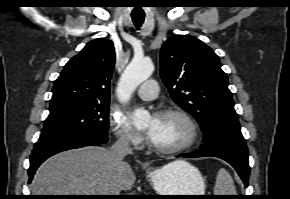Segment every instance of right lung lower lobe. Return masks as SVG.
Listing matches in <instances>:
<instances>
[{
	"label": "right lung lower lobe",
	"instance_id": "obj_1",
	"mask_svg": "<svg viewBox=\"0 0 290 199\" xmlns=\"http://www.w3.org/2000/svg\"><path fill=\"white\" fill-rule=\"evenodd\" d=\"M107 141V136L91 133L38 141L30 156V167L28 169L29 182L32 181L40 164L50 156L69 149L101 145Z\"/></svg>",
	"mask_w": 290,
	"mask_h": 199
}]
</instances>
